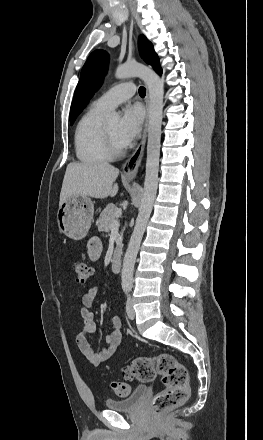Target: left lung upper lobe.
<instances>
[{"label":"left lung upper lobe","instance_id":"1","mask_svg":"<svg viewBox=\"0 0 263 440\" xmlns=\"http://www.w3.org/2000/svg\"><path fill=\"white\" fill-rule=\"evenodd\" d=\"M139 51L144 61L153 66L159 67V58L154 52L153 45L141 35L138 41ZM108 54L104 50H95L88 57L80 74V80L74 93V99L70 110V123L73 124L76 117L82 112L89 99L99 89L103 76L108 67Z\"/></svg>","mask_w":263,"mask_h":440}]
</instances>
